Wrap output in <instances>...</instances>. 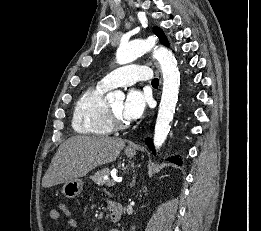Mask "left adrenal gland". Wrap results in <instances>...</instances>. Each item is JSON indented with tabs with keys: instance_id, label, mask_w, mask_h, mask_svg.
Wrapping results in <instances>:
<instances>
[{
	"instance_id": "obj_1",
	"label": "left adrenal gland",
	"mask_w": 261,
	"mask_h": 231,
	"mask_svg": "<svg viewBox=\"0 0 261 231\" xmlns=\"http://www.w3.org/2000/svg\"><path fill=\"white\" fill-rule=\"evenodd\" d=\"M135 186V177L133 178V181L131 183V188Z\"/></svg>"
}]
</instances>
